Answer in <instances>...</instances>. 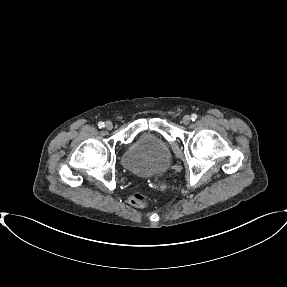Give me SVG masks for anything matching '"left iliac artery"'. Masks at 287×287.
<instances>
[{"instance_id": "1", "label": "left iliac artery", "mask_w": 287, "mask_h": 287, "mask_svg": "<svg viewBox=\"0 0 287 287\" xmlns=\"http://www.w3.org/2000/svg\"><path fill=\"white\" fill-rule=\"evenodd\" d=\"M191 119H192L193 121H195V120L197 119V115H196V114H192V115H191Z\"/></svg>"}]
</instances>
